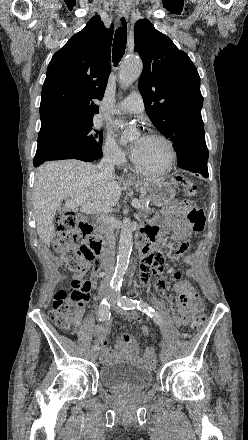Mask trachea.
Here are the masks:
<instances>
[{
    "label": "trachea",
    "instance_id": "obj_1",
    "mask_svg": "<svg viewBox=\"0 0 248 440\" xmlns=\"http://www.w3.org/2000/svg\"><path fill=\"white\" fill-rule=\"evenodd\" d=\"M121 22L122 26L116 30L113 40L112 58L114 66H117L118 63L121 61V58L123 57L126 49L127 26L124 18L121 19Z\"/></svg>",
    "mask_w": 248,
    "mask_h": 440
}]
</instances>
